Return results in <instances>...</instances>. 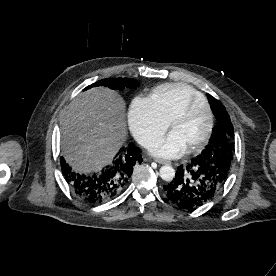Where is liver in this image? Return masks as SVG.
Masks as SVG:
<instances>
[{"instance_id": "6515ba94", "label": "liver", "mask_w": 276, "mask_h": 276, "mask_svg": "<svg viewBox=\"0 0 276 276\" xmlns=\"http://www.w3.org/2000/svg\"><path fill=\"white\" fill-rule=\"evenodd\" d=\"M126 137L124 100L108 88L80 93L64 113L62 153L76 171L100 170L111 162Z\"/></svg>"}]
</instances>
